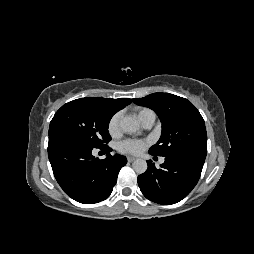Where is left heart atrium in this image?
Instances as JSON below:
<instances>
[{
  "label": "left heart atrium",
  "mask_w": 254,
  "mask_h": 254,
  "mask_svg": "<svg viewBox=\"0 0 254 254\" xmlns=\"http://www.w3.org/2000/svg\"><path fill=\"white\" fill-rule=\"evenodd\" d=\"M146 144L143 140L128 139L122 141L118 148L122 153L138 154L145 148Z\"/></svg>",
  "instance_id": "1"
}]
</instances>
